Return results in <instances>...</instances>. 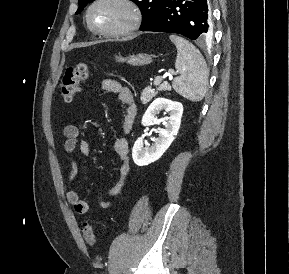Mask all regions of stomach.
<instances>
[{
	"instance_id": "1",
	"label": "stomach",
	"mask_w": 289,
	"mask_h": 274,
	"mask_svg": "<svg viewBox=\"0 0 289 274\" xmlns=\"http://www.w3.org/2000/svg\"><path fill=\"white\" fill-rule=\"evenodd\" d=\"M116 60L118 62H127L128 64L134 66H142L150 64L152 62V56L148 54H138L132 55L128 58L117 57Z\"/></svg>"
}]
</instances>
